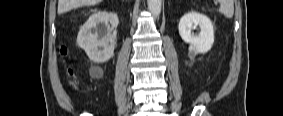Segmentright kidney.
Wrapping results in <instances>:
<instances>
[{
	"mask_svg": "<svg viewBox=\"0 0 283 116\" xmlns=\"http://www.w3.org/2000/svg\"><path fill=\"white\" fill-rule=\"evenodd\" d=\"M119 24L115 13L96 12L80 28L77 44L90 60L95 63L108 61L114 55L116 34L114 29Z\"/></svg>",
	"mask_w": 283,
	"mask_h": 116,
	"instance_id": "obj_1",
	"label": "right kidney"
}]
</instances>
